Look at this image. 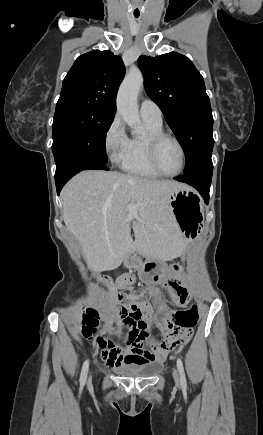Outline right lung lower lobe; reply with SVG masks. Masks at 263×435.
Segmentation results:
<instances>
[{"label":"right lung lower lobe","instance_id":"98d812e1","mask_svg":"<svg viewBox=\"0 0 263 435\" xmlns=\"http://www.w3.org/2000/svg\"><path fill=\"white\" fill-rule=\"evenodd\" d=\"M108 170L106 164L97 163L86 159H69L56 167L55 183L58 195L62 187L77 173L82 170Z\"/></svg>","mask_w":263,"mask_h":435}]
</instances>
